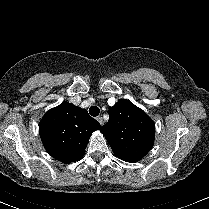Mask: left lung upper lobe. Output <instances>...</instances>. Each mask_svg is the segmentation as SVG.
Segmentation results:
<instances>
[{
	"label": "left lung upper lobe",
	"instance_id": "left-lung-upper-lobe-1",
	"mask_svg": "<svg viewBox=\"0 0 209 209\" xmlns=\"http://www.w3.org/2000/svg\"><path fill=\"white\" fill-rule=\"evenodd\" d=\"M100 131L118 158L134 163L152 148L155 124L143 110L120 99L109 109V120Z\"/></svg>",
	"mask_w": 209,
	"mask_h": 209
}]
</instances>
